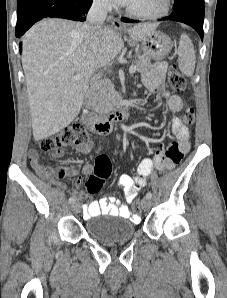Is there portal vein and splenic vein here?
Wrapping results in <instances>:
<instances>
[{
  "instance_id": "18ae733b",
  "label": "portal vein and splenic vein",
  "mask_w": 227,
  "mask_h": 298,
  "mask_svg": "<svg viewBox=\"0 0 227 298\" xmlns=\"http://www.w3.org/2000/svg\"><path fill=\"white\" fill-rule=\"evenodd\" d=\"M136 71V66L135 65H131L129 68V73L132 75L134 74ZM83 76L82 75H76L75 78L76 79H81Z\"/></svg>"
}]
</instances>
